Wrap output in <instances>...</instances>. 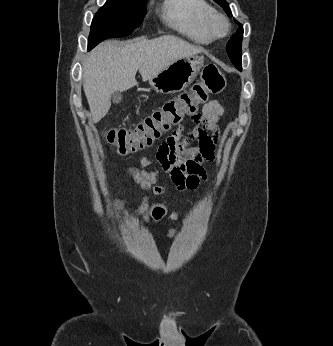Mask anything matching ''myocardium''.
I'll use <instances>...</instances> for the list:
<instances>
[{"label": "myocardium", "mask_w": 333, "mask_h": 346, "mask_svg": "<svg viewBox=\"0 0 333 346\" xmlns=\"http://www.w3.org/2000/svg\"><path fill=\"white\" fill-rule=\"evenodd\" d=\"M218 23H221L223 25V30L221 32H218L216 28ZM208 26H209L210 33L214 38L225 37L230 31V23L227 17L224 14L217 11H215L210 16L208 21Z\"/></svg>", "instance_id": "obj_1"}]
</instances>
